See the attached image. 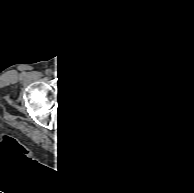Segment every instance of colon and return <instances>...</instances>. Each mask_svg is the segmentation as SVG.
Segmentation results:
<instances>
[{
  "mask_svg": "<svg viewBox=\"0 0 194 193\" xmlns=\"http://www.w3.org/2000/svg\"><path fill=\"white\" fill-rule=\"evenodd\" d=\"M78 124L81 120L77 121ZM121 142V133L114 130H105L90 139V146L95 151L105 150Z\"/></svg>",
  "mask_w": 194,
  "mask_h": 193,
  "instance_id": "5ec220e1",
  "label": "colon"
}]
</instances>
